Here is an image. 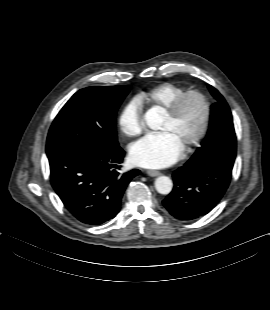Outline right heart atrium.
I'll use <instances>...</instances> for the list:
<instances>
[{
    "mask_svg": "<svg viewBox=\"0 0 270 310\" xmlns=\"http://www.w3.org/2000/svg\"><path fill=\"white\" fill-rule=\"evenodd\" d=\"M119 128L127 137H136L144 129L143 109L137 98L130 100L122 109L119 120Z\"/></svg>",
    "mask_w": 270,
    "mask_h": 310,
    "instance_id": "1",
    "label": "right heart atrium"
}]
</instances>
